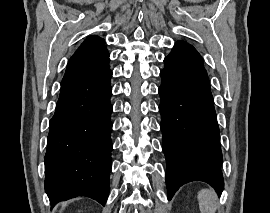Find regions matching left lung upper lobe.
Masks as SVG:
<instances>
[{
	"instance_id": "5c2ea615",
	"label": "left lung upper lobe",
	"mask_w": 270,
	"mask_h": 213,
	"mask_svg": "<svg viewBox=\"0 0 270 213\" xmlns=\"http://www.w3.org/2000/svg\"><path fill=\"white\" fill-rule=\"evenodd\" d=\"M165 68L191 69L203 68V59L196 49L184 42L175 43L171 53L164 59Z\"/></svg>"
}]
</instances>
